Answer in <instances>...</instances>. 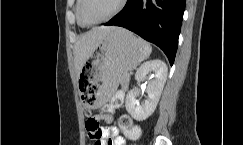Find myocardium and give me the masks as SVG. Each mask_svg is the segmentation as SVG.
<instances>
[{
	"instance_id": "f54148a6",
	"label": "myocardium",
	"mask_w": 243,
	"mask_h": 145,
	"mask_svg": "<svg viewBox=\"0 0 243 145\" xmlns=\"http://www.w3.org/2000/svg\"><path fill=\"white\" fill-rule=\"evenodd\" d=\"M85 2H86V0H80L79 18H80L81 22L85 26L91 27V26H96V25L105 23V22L111 20L112 18H114L115 16H117L125 8V6L127 5L128 0H121L119 5H118V7L110 15H108L104 19H102V20H100L98 22H95V23H89V22H87L85 20V17H84V5H85Z\"/></svg>"
}]
</instances>
